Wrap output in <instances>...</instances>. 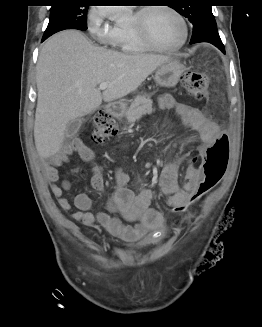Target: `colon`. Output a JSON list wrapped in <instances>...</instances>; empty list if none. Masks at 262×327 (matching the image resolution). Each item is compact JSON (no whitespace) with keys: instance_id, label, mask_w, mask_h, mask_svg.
Instances as JSON below:
<instances>
[{"instance_id":"5ec220e1","label":"colon","mask_w":262,"mask_h":327,"mask_svg":"<svg viewBox=\"0 0 262 327\" xmlns=\"http://www.w3.org/2000/svg\"><path fill=\"white\" fill-rule=\"evenodd\" d=\"M182 84L188 94L195 99L203 100L207 97L209 81L205 74L188 71L182 77ZM93 123L92 139L96 143L105 142L117 132L111 114L105 109H100L94 115ZM229 152L228 136L221 134L200 157L199 168L202 175L198 186L188 195L184 203L173 209L174 212L187 211L219 183L228 165Z\"/></svg>"}]
</instances>
